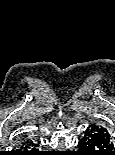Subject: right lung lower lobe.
Here are the masks:
<instances>
[{
    "label": "right lung lower lobe",
    "instance_id": "98d812e1",
    "mask_svg": "<svg viewBox=\"0 0 115 155\" xmlns=\"http://www.w3.org/2000/svg\"><path fill=\"white\" fill-rule=\"evenodd\" d=\"M16 155H45V152L40 150L39 143L25 137L17 145Z\"/></svg>",
    "mask_w": 115,
    "mask_h": 155
}]
</instances>
